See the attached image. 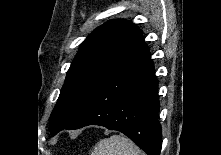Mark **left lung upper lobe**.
Returning <instances> with one entry per match:
<instances>
[{"label":"left lung upper lobe","instance_id":"5c2ea615","mask_svg":"<svg viewBox=\"0 0 221 155\" xmlns=\"http://www.w3.org/2000/svg\"><path fill=\"white\" fill-rule=\"evenodd\" d=\"M145 46L141 31L112 20L89 35L71 64L50 118L52 135L67 127L101 83Z\"/></svg>","mask_w":221,"mask_h":155}]
</instances>
